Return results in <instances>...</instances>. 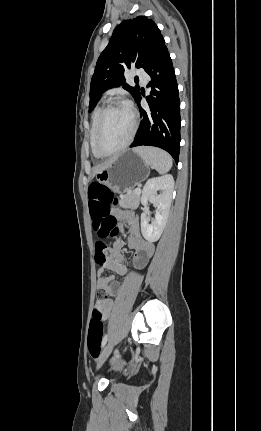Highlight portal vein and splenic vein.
Here are the masks:
<instances>
[{
    "label": "portal vein and splenic vein",
    "instance_id": "18ae733b",
    "mask_svg": "<svg viewBox=\"0 0 261 431\" xmlns=\"http://www.w3.org/2000/svg\"><path fill=\"white\" fill-rule=\"evenodd\" d=\"M135 192H136V193H140V192H141V188H140V186H138V187L135 189Z\"/></svg>",
    "mask_w": 261,
    "mask_h": 431
}]
</instances>
